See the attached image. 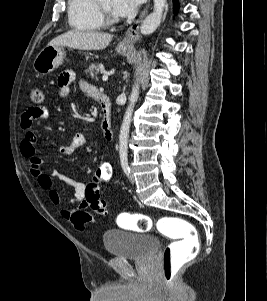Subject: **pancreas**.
Instances as JSON below:
<instances>
[{
  "label": "pancreas",
  "mask_w": 267,
  "mask_h": 301,
  "mask_svg": "<svg viewBox=\"0 0 267 301\" xmlns=\"http://www.w3.org/2000/svg\"><path fill=\"white\" fill-rule=\"evenodd\" d=\"M104 70V65L101 63H92L86 70V74L88 75V77L91 78H96L97 79V74L99 72H102Z\"/></svg>",
  "instance_id": "obj_1"
}]
</instances>
